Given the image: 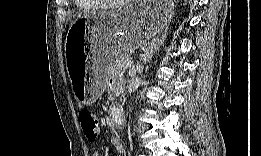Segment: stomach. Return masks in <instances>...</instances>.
Here are the masks:
<instances>
[{"label":"stomach","mask_w":261,"mask_h":156,"mask_svg":"<svg viewBox=\"0 0 261 156\" xmlns=\"http://www.w3.org/2000/svg\"><path fill=\"white\" fill-rule=\"evenodd\" d=\"M169 2H133L108 15L76 20L69 28L65 56L73 93L80 104L95 102L105 87L106 65L159 33L171 20ZM90 46V62L75 64V54Z\"/></svg>","instance_id":"0dacf381"}]
</instances>
